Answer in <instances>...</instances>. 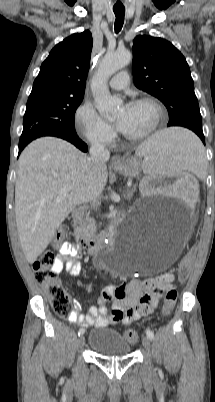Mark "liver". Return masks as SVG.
<instances>
[{
    "instance_id": "6515ba94",
    "label": "liver",
    "mask_w": 215,
    "mask_h": 402,
    "mask_svg": "<svg viewBox=\"0 0 215 402\" xmlns=\"http://www.w3.org/2000/svg\"><path fill=\"white\" fill-rule=\"evenodd\" d=\"M106 164L96 168L91 158L55 137L31 142L18 161L15 185L16 225L20 245L29 263L47 248L70 212L103 191ZM70 187L58 200L61 187Z\"/></svg>"
}]
</instances>
